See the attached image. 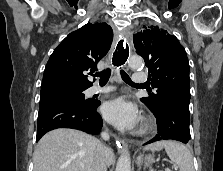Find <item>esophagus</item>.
Here are the masks:
<instances>
[{"mask_svg":"<svg viewBox=\"0 0 223 171\" xmlns=\"http://www.w3.org/2000/svg\"><path fill=\"white\" fill-rule=\"evenodd\" d=\"M131 50L130 39L126 34L122 35V38L117 41L116 51H113L111 64L113 69L117 72L120 65L126 66V61L129 60ZM117 147L120 149H127L128 145L125 140H116Z\"/></svg>","mask_w":223,"mask_h":171,"instance_id":"34e87169","label":"esophagus"}]
</instances>
